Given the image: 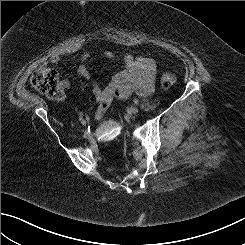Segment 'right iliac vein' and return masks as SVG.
Segmentation results:
<instances>
[{"instance_id": "1", "label": "right iliac vein", "mask_w": 245, "mask_h": 245, "mask_svg": "<svg viewBox=\"0 0 245 245\" xmlns=\"http://www.w3.org/2000/svg\"><path fill=\"white\" fill-rule=\"evenodd\" d=\"M81 124H82L83 126H86V121H85V120H82V121H81Z\"/></svg>"}]
</instances>
